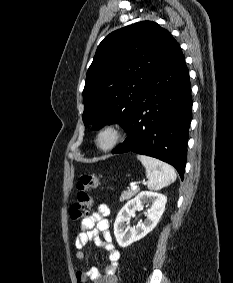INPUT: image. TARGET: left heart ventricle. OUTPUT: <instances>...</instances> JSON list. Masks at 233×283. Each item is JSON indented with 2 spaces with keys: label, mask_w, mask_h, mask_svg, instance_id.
Returning a JSON list of instances; mask_svg holds the SVG:
<instances>
[{
  "label": "left heart ventricle",
  "mask_w": 233,
  "mask_h": 283,
  "mask_svg": "<svg viewBox=\"0 0 233 283\" xmlns=\"http://www.w3.org/2000/svg\"><path fill=\"white\" fill-rule=\"evenodd\" d=\"M107 140V138H104V141H106Z\"/></svg>",
  "instance_id": "1"
}]
</instances>
